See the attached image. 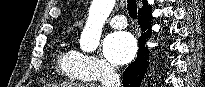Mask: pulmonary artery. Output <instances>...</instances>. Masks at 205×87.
<instances>
[{
	"label": "pulmonary artery",
	"instance_id": "pulmonary-artery-1",
	"mask_svg": "<svg viewBox=\"0 0 205 87\" xmlns=\"http://www.w3.org/2000/svg\"><path fill=\"white\" fill-rule=\"evenodd\" d=\"M108 23L112 28L122 29L127 26V19L124 15H116L109 19Z\"/></svg>",
	"mask_w": 205,
	"mask_h": 87
}]
</instances>
